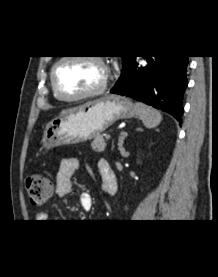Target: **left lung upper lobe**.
<instances>
[{
    "label": "left lung upper lobe",
    "instance_id": "left-lung-upper-lobe-1",
    "mask_svg": "<svg viewBox=\"0 0 218 277\" xmlns=\"http://www.w3.org/2000/svg\"><path fill=\"white\" fill-rule=\"evenodd\" d=\"M123 60V68L128 64V62L133 58V56H121Z\"/></svg>",
    "mask_w": 218,
    "mask_h": 277
}]
</instances>
